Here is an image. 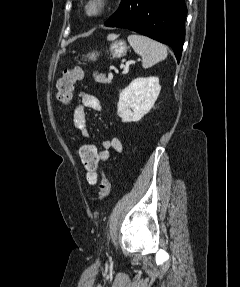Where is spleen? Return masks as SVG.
Listing matches in <instances>:
<instances>
[{
	"label": "spleen",
	"instance_id": "3e777b00",
	"mask_svg": "<svg viewBox=\"0 0 240 287\" xmlns=\"http://www.w3.org/2000/svg\"><path fill=\"white\" fill-rule=\"evenodd\" d=\"M128 42L135 53L142 57L143 68H150L167 57V49L163 44L144 35L131 34Z\"/></svg>",
	"mask_w": 240,
	"mask_h": 287
}]
</instances>
